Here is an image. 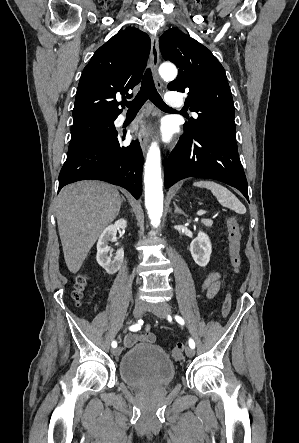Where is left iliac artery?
I'll return each mask as SVG.
<instances>
[{
	"mask_svg": "<svg viewBox=\"0 0 299 443\" xmlns=\"http://www.w3.org/2000/svg\"><path fill=\"white\" fill-rule=\"evenodd\" d=\"M175 320L179 323V324H181V325H184V320H183V318L182 317H180V316H178V315H176L175 316ZM189 346L191 347V348H195V342H194V340L193 339H189Z\"/></svg>",
	"mask_w": 299,
	"mask_h": 443,
	"instance_id": "left-iliac-artery-1",
	"label": "left iliac artery"
}]
</instances>
